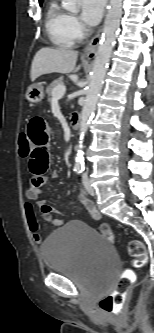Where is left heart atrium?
I'll list each match as a JSON object with an SVG mask.
<instances>
[{"label": "left heart atrium", "mask_w": 154, "mask_h": 333, "mask_svg": "<svg viewBox=\"0 0 154 333\" xmlns=\"http://www.w3.org/2000/svg\"><path fill=\"white\" fill-rule=\"evenodd\" d=\"M82 19L88 25H96L103 14L106 0H82Z\"/></svg>", "instance_id": "1"}]
</instances>
